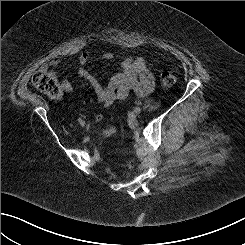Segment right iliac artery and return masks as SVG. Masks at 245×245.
Masks as SVG:
<instances>
[{"label":"right iliac artery","mask_w":245,"mask_h":245,"mask_svg":"<svg viewBox=\"0 0 245 245\" xmlns=\"http://www.w3.org/2000/svg\"><path fill=\"white\" fill-rule=\"evenodd\" d=\"M78 121L80 124L83 122V120L81 118H79Z\"/></svg>","instance_id":"82829eb1"}]
</instances>
